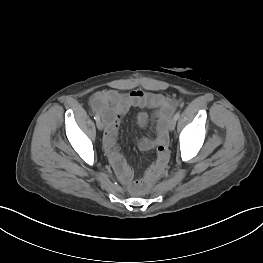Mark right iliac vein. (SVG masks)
<instances>
[{"label": "right iliac vein", "mask_w": 263, "mask_h": 263, "mask_svg": "<svg viewBox=\"0 0 263 263\" xmlns=\"http://www.w3.org/2000/svg\"><path fill=\"white\" fill-rule=\"evenodd\" d=\"M96 125H97V128H98L99 130H103V128H104V124H103L102 121H100V120L97 121Z\"/></svg>", "instance_id": "obj_1"}]
</instances>
